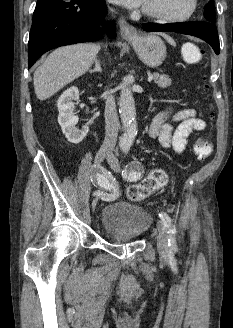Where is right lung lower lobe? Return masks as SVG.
<instances>
[{"instance_id":"obj_1","label":"right lung lower lobe","mask_w":233,"mask_h":328,"mask_svg":"<svg viewBox=\"0 0 233 328\" xmlns=\"http://www.w3.org/2000/svg\"><path fill=\"white\" fill-rule=\"evenodd\" d=\"M107 13L103 0H38L28 42V67L48 50L98 40ZM106 32L115 38L114 22Z\"/></svg>"}]
</instances>
